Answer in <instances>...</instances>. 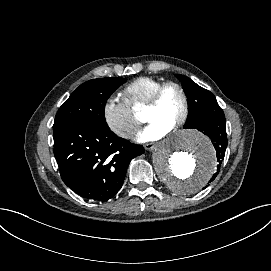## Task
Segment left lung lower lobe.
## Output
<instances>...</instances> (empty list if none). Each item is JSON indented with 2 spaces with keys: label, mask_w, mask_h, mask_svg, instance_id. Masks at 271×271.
I'll return each mask as SVG.
<instances>
[{
  "label": "left lung lower lobe",
  "mask_w": 271,
  "mask_h": 271,
  "mask_svg": "<svg viewBox=\"0 0 271 271\" xmlns=\"http://www.w3.org/2000/svg\"><path fill=\"white\" fill-rule=\"evenodd\" d=\"M196 129L206 134L214 143L217 159V172L213 174L209 181L212 182L218 174L227 148L226 120L223 110L221 108H217L216 110L208 113Z\"/></svg>",
  "instance_id": "1"
}]
</instances>
